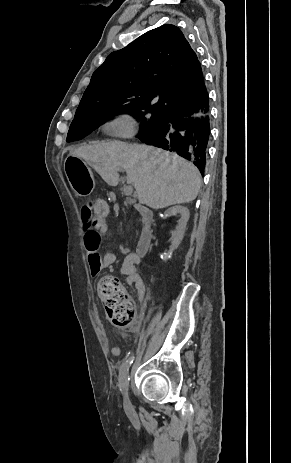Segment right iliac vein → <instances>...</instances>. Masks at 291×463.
I'll use <instances>...</instances> for the list:
<instances>
[{
	"mask_svg": "<svg viewBox=\"0 0 291 463\" xmlns=\"http://www.w3.org/2000/svg\"><path fill=\"white\" fill-rule=\"evenodd\" d=\"M123 397H124L123 404H124L125 410H130L131 409V403H130V400H129V397H128L127 388L123 389Z\"/></svg>",
	"mask_w": 291,
	"mask_h": 463,
	"instance_id": "obj_1",
	"label": "right iliac vein"
}]
</instances>
